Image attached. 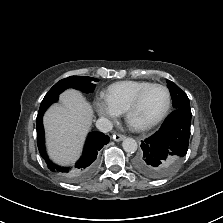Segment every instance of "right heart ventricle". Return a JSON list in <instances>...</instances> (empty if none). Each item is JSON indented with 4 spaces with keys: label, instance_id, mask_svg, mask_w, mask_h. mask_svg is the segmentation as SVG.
I'll return each mask as SVG.
<instances>
[{
    "label": "right heart ventricle",
    "instance_id": "obj_1",
    "mask_svg": "<svg viewBox=\"0 0 223 223\" xmlns=\"http://www.w3.org/2000/svg\"><path fill=\"white\" fill-rule=\"evenodd\" d=\"M151 84V82L142 80L120 81L110 85L105 96L122 113L136 95Z\"/></svg>",
    "mask_w": 223,
    "mask_h": 223
}]
</instances>
